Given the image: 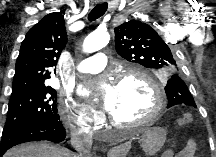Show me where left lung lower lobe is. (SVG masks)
Returning a JSON list of instances; mask_svg holds the SVG:
<instances>
[{
	"instance_id": "left-lung-lower-lobe-1",
	"label": "left lung lower lobe",
	"mask_w": 216,
	"mask_h": 157,
	"mask_svg": "<svg viewBox=\"0 0 216 157\" xmlns=\"http://www.w3.org/2000/svg\"><path fill=\"white\" fill-rule=\"evenodd\" d=\"M174 105H179V104H176V102H171V103H169V104L167 105V107L169 108V107H172V106H174Z\"/></svg>"
}]
</instances>
